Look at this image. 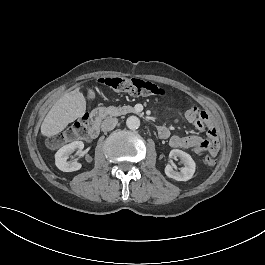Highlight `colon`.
I'll return each mask as SVG.
<instances>
[{
	"label": "colon",
	"instance_id": "5ec220e1",
	"mask_svg": "<svg viewBox=\"0 0 265 265\" xmlns=\"http://www.w3.org/2000/svg\"><path fill=\"white\" fill-rule=\"evenodd\" d=\"M99 84L102 87L110 88L117 93H125L134 97L145 96H165L166 89L156 83L139 79V78H124V77H104L99 79ZM74 138V132L68 130L63 134L53 135L49 138V144L53 146L60 145L65 139ZM216 158L213 154H207L203 163L205 165H214Z\"/></svg>",
	"mask_w": 265,
	"mask_h": 265
}]
</instances>
